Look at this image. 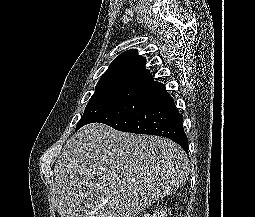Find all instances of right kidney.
Listing matches in <instances>:
<instances>
[{"mask_svg": "<svg viewBox=\"0 0 255 217\" xmlns=\"http://www.w3.org/2000/svg\"><path fill=\"white\" fill-rule=\"evenodd\" d=\"M142 217H167V214L163 210H158L153 213V215H150L149 213L144 214Z\"/></svg>", "mask_w": 255, "mask_h": 217, "instance_id": "right-kidney-1", "label": "right kidney"}]
</instances>
